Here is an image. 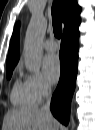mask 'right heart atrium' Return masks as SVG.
Here are the masks:
<instances>
[{"instance_id": "obj_1", "label": "right heart atrium", "mask_w": 95, "mask_h": 130, "mask_svg": "<svg viewBox=\"0 0 95 130\" xmlns=\"http://www.w3.org/2000/svg\"><path fill=\"white\" fill-rule=\"evenodd\" d=\"M25 81L36 103L41 102L51 92L50 84L41 75H35V74L28 75Z\"/></svg>"}]
</instances>
